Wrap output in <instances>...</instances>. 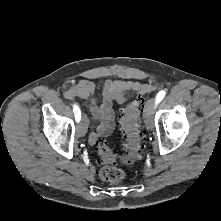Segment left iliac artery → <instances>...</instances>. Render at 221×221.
<instances>
[{"label": "left iliac artery", "instance_id": "1", "mask_svg": "<svg viewBox=\"0 0 221 221\" xmlns=\"http://www.w3.org/2000/svg\"><path fill=\"white\" fill-rule=\"evenodd\" d=\"M166 92L165 90H161L158 92V94L156 95V104H158L160 101L163 100V98L165 97Z\"/></svg>", "mask_w": 221, "mask_h": 221}]
</instances>
